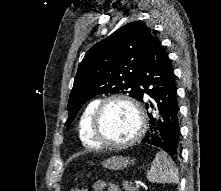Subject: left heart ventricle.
I'll list each match as a JSON object with an SVG mask.
<instances>
[{"label": "left heart ventricle", "instance_id": "left-heart-ventricle-1", "mask_svg": "<svg viewBox=\"0 0 221 191\" xmlns=\"http://www.w3.org/2000/svg\"><path fill=\"white\" fill-rule=\"evenodd\" d=\"M138 117L135 110L123 101H114L107 105L102 128L106 140L114 143L129 140L137 131Z\"/></svg>", "mask_w": 221, "mask_h": 191}]
</instances>
